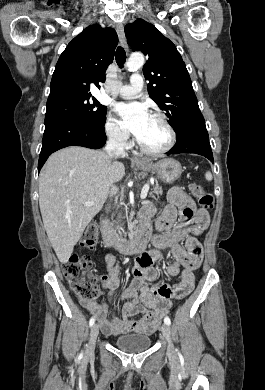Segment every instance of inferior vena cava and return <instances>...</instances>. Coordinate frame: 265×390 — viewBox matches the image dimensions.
<instances>
[{
    "instance_id": "obj_1",
    "label": "inferior vena cava",
    "mask_w": 265,
    "mask_h": 390,
    "mask_svg": "<svg viewBox=\"0 0 265 390\" xmlns=\"http://www.w3.org/2000/svg\"><path fill=\"white\" fill-rule=\"evenodd\" d=\"M106 153L109 157L115 156H125L124 142H122L117 136L112 135L109 137L106 147ZM117 192V188L112 186L110 190V196L114 195Z\"/></svg>"
}]
</instances>
